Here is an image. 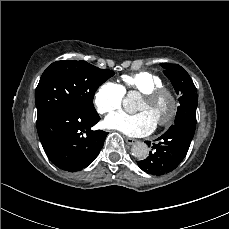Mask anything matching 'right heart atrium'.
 <instances>
[{
	"label": "right heart atrium",
	"instance_id": "d8ad5b80",
	"mask_svg": "<svg viewBox=\"0 0 229 229\" xmlns=\"http://www.w3.org/2000/svg\"><path fill=\"white\" fill-rule=\"evenodd\" d=\"M124 98L122 87L112 81L103 82L94 92L93 105L100 114L120 109Z\"/></svg>",
	"mask_w": 229,
	"mask_h": 229
}]
</instances>
